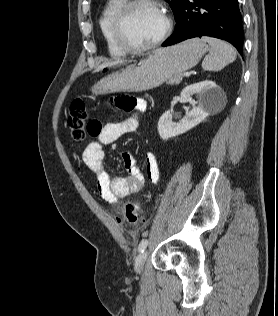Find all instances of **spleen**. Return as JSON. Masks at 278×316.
Masks as SVG:
<instances>
[{"label":"spleen","instance_id":"spleen-1","mask_svg":"<svg viewBox=\"0 0 278 316\" xmlns=\"http://www.w3.org/2000/svg\"><path fill=\"white\" fill-rule=\"evenodd\" d=\"M201 40L210 45V53L202 62V68L204 70L218 71L224 68L227 64L235 61L236 51L228 43L207 36L202 37Z\"/></svg>","mask_w":278,"mask_h":316}]
</instances>
